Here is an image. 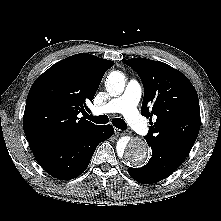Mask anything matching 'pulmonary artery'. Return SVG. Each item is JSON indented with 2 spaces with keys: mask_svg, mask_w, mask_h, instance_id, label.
Segmentation results:
<instances>
[{
  "mask_svg": "<svg viewBox=\"0 0 221 221\" xmlns=\"http://www.w3.org/2000/svg\"><path fill=\"white\" fill-rule=\"evenodd\" d=\"M141 95V84L137 80L131 79L121 95L112 98L102 106L96 107L94 112L97 115L119 112L138 134L146 136L149 134L150 128L137 110Z\"/></svg>",
  "mask_w": 221,
  "mask_h": 221,
  "instance_id": "pulmonary-artery-1",
  "label": "pulmonary artery"
}]
</instances>
